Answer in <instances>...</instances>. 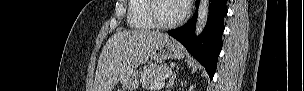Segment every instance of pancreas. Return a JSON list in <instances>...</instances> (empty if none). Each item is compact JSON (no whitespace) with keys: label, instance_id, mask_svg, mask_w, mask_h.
I'll return each instance as SVG.
<instances>
[{"label":"pancreas","instance_id":"pancreas-1","mask_svg":"<svg viewBox=\"0 0 304 91\" xmlns=\"http://www.w3.org/2000/svg\"><path fill=\"white\" fill-rule=\"evenodd\" d=\"M168 68L164 66H151L146 68L141 73V84L142 87L151 90V88L157 84L162 83L164 76L167 73Z\"/></svg>","mask_w":304,"mask_h":91}]
</instances>
